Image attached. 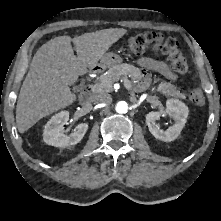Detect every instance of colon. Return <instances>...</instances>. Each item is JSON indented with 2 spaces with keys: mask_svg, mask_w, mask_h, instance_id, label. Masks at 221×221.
Segmentation results:
<instances>
[{
  "mask_svg": "<svg viewBox=\"0 0 221 221\" xmlns=\"http://www.w3.org/2000/svg\"><path fill=\"white\" fill-rule=\"evenodd\" d=\"M125 48L136 55H140L147 50L160 51L168 57L175 72L183 74L188 70L187 61L182 55L176 39L166 38L161 33L145 32L134 35L125 42ZM188 97L194 105L204 103V95L199 88L191 89Z\"/></svg>",
  "mask_w": 221,
  "mask_h": 221,
  "instance_id": "5ec220e1",
  "label": "colon"
}]
</instances>
